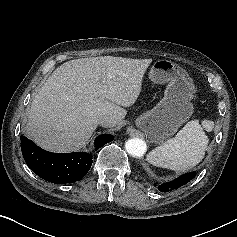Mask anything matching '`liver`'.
Instances as JSON below:
<instances>
[{
    "mask_svg": "<svg viewBox=\"0 0 237 237\" xmlns=\"http://www.w3.org/2000/svg\"><path fill=\"white\" fill-rule=\"evenodd\" d=\"M152 59L101 56L70 60L48 77L28 110L25 132L54 152L84 147L98 126L96 117L111 116L114 127L137 100Z\"/></svg>",
    "mask_w": 237,
    "mask_h": 237,
    "instance_id": "1",
    "label": "liver"
}]
</instances>
